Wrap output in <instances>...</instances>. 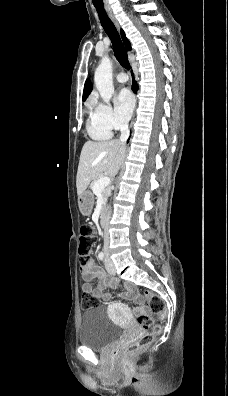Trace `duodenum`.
Listing matches in <instances>:
<instances>
[{
	"instance_id": "obj_1",
	"label": "duodenum",
	"mask_w": 228,
	"mask_h": 396,
	"mask_svg": "<svg viewBox=\"0 0 228 396\" xmlns=\"http://www.w3.org/2000/svg\"><path fill=\"white\" fill-rule=\"evenodd\" d=\"M100 226L103 228V231L105 234H107V228H106V208L102 207L99 218H98Z\"/></svg>"
}]
</instances>
